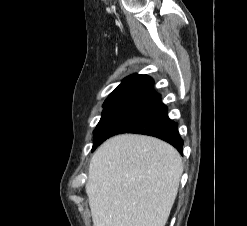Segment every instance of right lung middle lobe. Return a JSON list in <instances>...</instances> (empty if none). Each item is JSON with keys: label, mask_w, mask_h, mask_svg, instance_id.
<instances>
[{"label": "right lung middle lobe", "mask_w": 247, "mask_h": 226, "mask_svg": "<svg viewBox=\"0 0 247 226\" xmlns=\"http://www.w3.org/2000/svg\"><path fill=\"white\" fill-rule=\"evenodd\" d=\"M108 99H109V97L106 99V101L104 102V104H103V111L105 110V108H106V105H107V101H108ZM103 111H102V113H103Z\"/></svg>", "instance_id": "1"}]
</instances>
